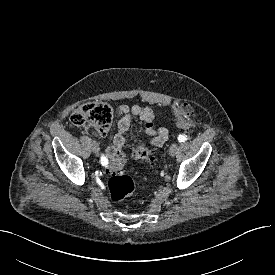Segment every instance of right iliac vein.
Returning a JSON list of instances; mask_svg holds the SVG:
<instances>
[{
	"instance_id": "obj_1",
	"label": "right iliac vein",
	"mask_w": 275,
	"mask_h": 275,
	"mask_svg": "<svg viewBox=\"0 0 275 275\" xmlns=\"http://www.w3.org/2000/svg\"><path fill=\"white\" fill-rule=\"evenodd\" d=\"M92 151H93V153H95V154H98V153H99V145H98L97 142H93V143H92Z\"/></svg>"
}]
</instances>
